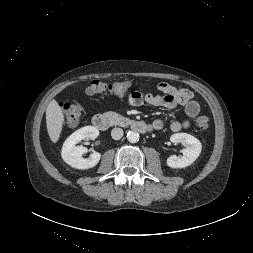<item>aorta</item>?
<instances>
[{
  "label": "aorta",
  "instance_id": "1",
  "mask_svg": "<svg viewBox=\"0 0 253 253\" xmlns=\"http://www.w3.org/2000/svg\"><path fill=\"white\" fill-rule=\"evenodd\" d=\"M127 140L130 142V143H136L139 141V134L135 131H129L127 133Z\"/></svg>",
  "mask_w": 253,
  "mask_h": 253
}]
</instances>
